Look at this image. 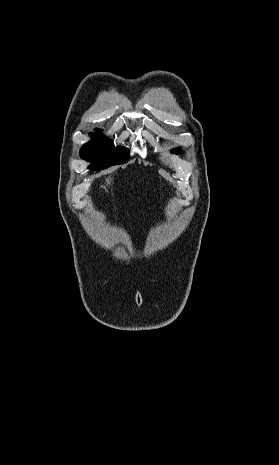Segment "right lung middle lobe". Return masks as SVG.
I'll return each mask as SVG.
<instances>
[{
    "instance_id": "obj_1",
    "label": "right lung middle lobe",
    "mask_w": 279,
    "mask_h": 465,
    "mask_svg": "<svg viewBox=\"0 0 279 465\" xmlns=\"http://www.w3.org/2000/svg\"><path fill=\"white\" fill-rule=\"evenodd\" d=\"M98 131V129H96ZM94 139L84 144L80 150V156L90 161L91 170L105 169L112 165L122 164L129 159V152L122 148H115L110 140L102 138V134H92Z\"/></svg>"
}]
</instances>
